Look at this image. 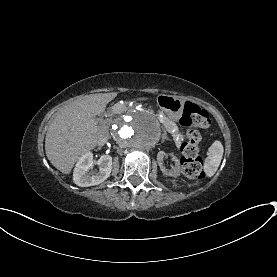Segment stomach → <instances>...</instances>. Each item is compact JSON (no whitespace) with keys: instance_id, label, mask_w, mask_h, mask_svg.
Here are the masks:
<instances>
[{"instance_id":"obj_1","label":"stomach","mask_w":277,"mask_h":277,"mask_svg":"<svg viewBox=\"0 0 277 277\" xmlns=\"http://www.w3.org/2000/svg\"><path fill=\"white\" fill-rule=\"evenodd\" d=\"M157 103L169 119L176 120L180 117L184 108V101L172 95H160Z\"/></svg>"}]
</instances>
